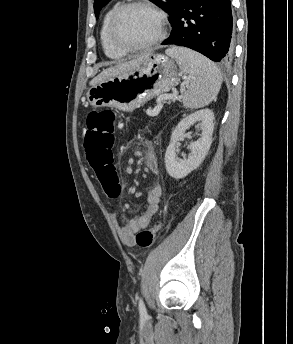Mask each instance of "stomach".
<instances>
[{"label": "stomach", "mask_w": 293, "mask_h": 344, "mask_svg": "<svg viewBox=\"0 0 293 344\" xmlns=\"http://www.w3.org/2000/svg\"><path fill=\"white\" fill-rule=\"evenodd\" d=\"M183 73L168 56L151 53L135 70L91 87L87 100L93 107H115L132 112L154 96L177 86Z\"/></svg>", "instance_id": "0dacf381"}]
</instances>
